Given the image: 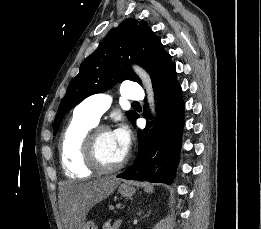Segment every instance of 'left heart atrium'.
<instances>
[{
	"label": "left heart atrium",
	"mask_w": 261,
	"mask_h": 229,
	"mask_svg": "<svg viewBox=\"0 0 261 229\" xmlns=\"http://www.w3.org/2000/svg\"><path fill=\"white\" fill-rule=\"evenodd\" d=\"M119 150L123 156H125L131 147L132 134L128 126L122 125L112 132Z\"/></svg>",
	"instance_id": "left-heart-atrium-1"
}]
</instances>
